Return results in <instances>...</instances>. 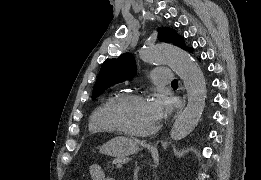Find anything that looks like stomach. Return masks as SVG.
I'll return each instance as SVG.
<instances>
[{
    "mask_svg": "<svg viewBox=\"0 0 261 180\" xmlns=\"http://www.w3.org/2000/svg\"><path fill=\"white\" fill-rule=\"evenodd\" d=\"M139 151L138 142L128 137H115L100 147V152L116 158L126 157Z\"/></svg>",
    "mask_w": 261,
    "mask_h": 180,
    "instance_id": "1",
    "label": "stomach"
}]
</instances>
